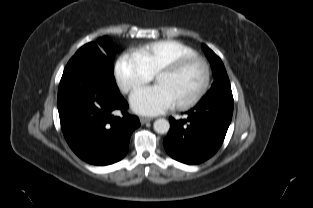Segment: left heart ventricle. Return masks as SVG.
<instances>
[{"label":"left heart ventricle","mask_w":313,"mask_h":208,"mask_svg":"<svg viewBox=\"0 0 313 208\" xmlns=\"http://www.w3.org/2000/svg\"><path fill=\"white\" fill-rule=\"evenodd\" d=\"M203 81V69L198 63H193L177 74H160L155 77V83L165 87L175 103L192 97L199 90Z\"/></svg>","instance_id":"1"}]
</instances>
